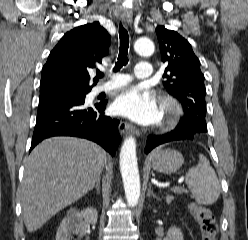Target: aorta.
I'll list each match as a JSON object with an SVG mask.
<instances>
[{
    "instance_id": "762f6f07",
    "label": "aorta",
    "mask_w": 248,
    "mask_h": 240,
    "mask_svg": "<svg viewBox=\"0 0 248 240\" xmlns=\"http://www.w3.org/2000/svg\"><path fill=\"white\" fill-rule=\"evenodd\" d=\"M154 49L153 42L148 38H140L134 43V50L141 56H151ZM120 171L126 201L130 207H134L140 198V177L136 157V140L132 136L126 138L121 147Z\"/></svg>"
}]
</instances>
